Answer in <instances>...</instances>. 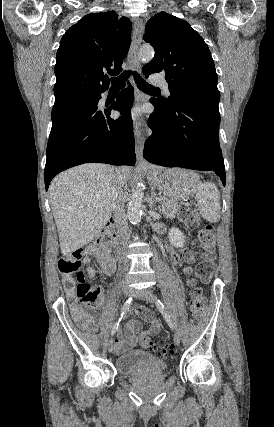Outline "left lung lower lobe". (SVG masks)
<instances>
[{"instance_id":"left-lung-lower-lobe-1","label":"left lung lower lobe","mask_w":274,"mask_h":427,"mask_svg":"<svg viewBox=\"0 0 274 427\" xmlns=\"http://www.w3.org/2000/svg\"><path fill=\"white\" fill-rule=\"evenodd\" d=\"M150 102L155 111L148 121L152 135L145 143L144 158L166 167L214 171L225 185L218 105L197 100L165 104L156 98Z\"/></svg>"}]
</instances>
